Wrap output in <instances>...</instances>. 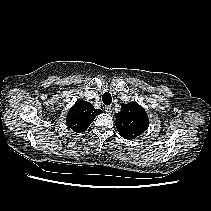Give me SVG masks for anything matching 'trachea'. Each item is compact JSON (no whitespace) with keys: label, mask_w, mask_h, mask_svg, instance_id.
<instances>
[{"label":"trachea","mask_w":211,"mask_h":211,"mask_svg":"<svg viewBox=\"0 0 211 211\" xmlns=\"http://www.w3.org/2000/svg\"><path fill=\"white\" fill-rule=\"evenodd\" d=\"M102 101L105 105H110L112 102L111 94L108 92H105L102 96Z\"/></svg>","instance_id":"3493384b"}]
</instances>
